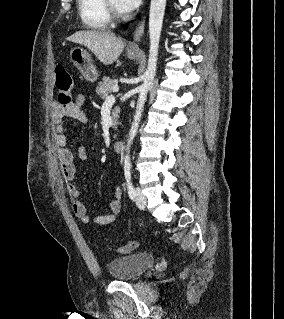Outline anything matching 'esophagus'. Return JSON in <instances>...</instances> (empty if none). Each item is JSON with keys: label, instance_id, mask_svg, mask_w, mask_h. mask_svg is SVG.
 I'll return each mask as SVG.
<instances>
[{"label": "esophagus", "instance_id": "1", "mask_svg": "<svg viewBox=\"0 0 284 319\" xmlns=\"http://www.w3.org/2000/svg\"><path fill=\"white\" fill-rule=\"evenodd\" d=\"M144 27H145V17H142L133 32V41L128 46V51L131 52H138L139 51V43L141 41V38L144 33Z\"/></svg>", "mask_w": 284, "mask_h": 319}]
</instances>
